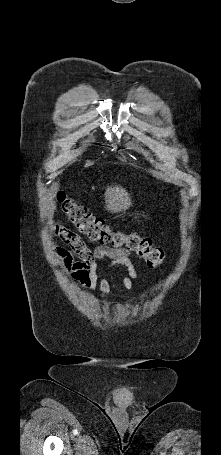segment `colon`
I'll list each match as a JSON object with an SVG mask.
<instances>
[{"label": "colon", "mask_w": 221, "mask_h": 455, "mask_svg": "<svg viewBox=\"0 0 221 455\" xmlns=\"http://www.w3.org/2000/svg\"><path fill=\"white\" fill-rule=\"evenodd\" d=\"M57 202L61 211L76 227L78 232L90 241L103 247L126 250L135 253L145 260L149 267L161 266L164 262V252L153 245L150 237L141 236L137 232L115 230L105 223L102 218L90 214L65 192L57 194Z\"/></svg>", "instance_id": "colon-1"}]
</instances>
